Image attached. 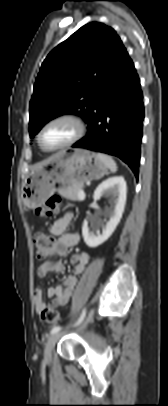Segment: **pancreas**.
Segmentation results:
<instances>
[{
    "label": "pancreas",
    "instance_id": "1",
    "mask_svg": "<svg viewBox=\"0 0 168 406\" xmlns=\"http://www.w3.org/2000/svg\"><path fill=\"white\" fill-rule=\"evenodd\" d=\"M83 185H78L72 188H67L65 190L60 191V194L65 197L66 199L72 201H82L84 199L80 198L78 193L82 190Z\"/></svg>",
    "mask_w": 168,
    "mask_h": 406
}]
</instances>
